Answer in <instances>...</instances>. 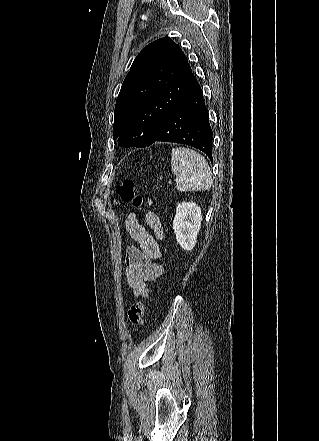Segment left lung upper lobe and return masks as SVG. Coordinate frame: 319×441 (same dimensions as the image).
Returning a JSON list of instances; mask_svg holds the SVG:
<instances>
[{"label": "left lung upper lobe", "mask_w": 319, "mask_h": 441, "mask_svg": "<svg viewBox=\"0 0 319 441\" xmlns=\"http://www.w3.org/2000/svg\"><path fill=\"white\" fill-rule=\"evenodd\" d=\"M193 79L187 57L170 38L147 45L122 84L115 105L113 138L123 147L151 145Z\"/></svg>", "instance_id": "obj_1"}]
</instances>
